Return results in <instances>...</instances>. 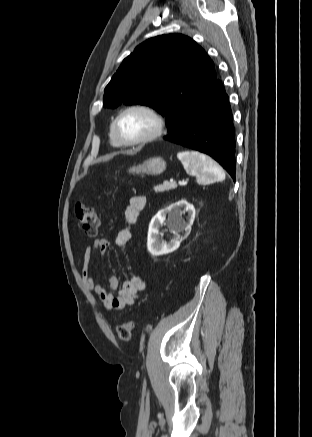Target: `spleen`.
Instances as JSON below:
<instances>
[{"label":"spleen","instance_id":"3e777b00","mask_svg":"<svg viewBox=\"0 0 312 437\" xmlns=\"http://www.w3.org/2000/svg\"><path fill=\"white\" fill-rule=\"evenodd\" d=\"M187 174L195 176L200 183L223 181L225 173L210 157L197 151H184L177 154Z\"/></svg>","mask_w":312,"mask_h":437}]
</instances>
